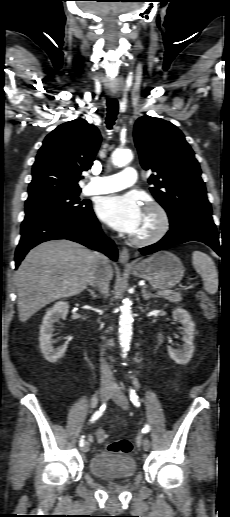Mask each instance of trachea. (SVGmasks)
<instances>
[{"instance_id":"trachea-1","label":"trachea","mask_w":230,"mask_h":517,"mask_svg":"<svg viewBox=\"0 0 230 517\" xmlns=\"http://www.w3.org/2000/svg\"><path fill=\"white\" fill-rule=\"evenodd\" d=\"M118 101L116 99H108L107 100V116H106V125L108 129H111L115 123V120L118 115Z\"/></svg>"}]
</instances>
